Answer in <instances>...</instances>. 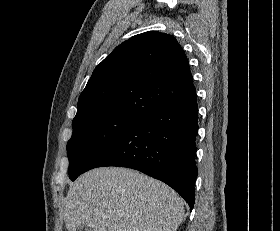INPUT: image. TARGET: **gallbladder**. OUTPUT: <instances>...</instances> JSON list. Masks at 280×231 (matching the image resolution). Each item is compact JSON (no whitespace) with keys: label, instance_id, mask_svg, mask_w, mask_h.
Returning a JSON list of instances; mask_svg holds the SVG:
<instances>
[{"label":"gallbladder","instance_id":"1","mask_svg":"<svg viewBox=\"0 0 280 231\" xmlns=\"http://www.w3.org/2000/svg\"><path fill=\"white\" fill-rule=\"evenodd\" d=\"M77 231H92L91 227H87V225H79L77 227Z\"/></svg>","mask_w":280,"mask_h":231}]
</instances>
